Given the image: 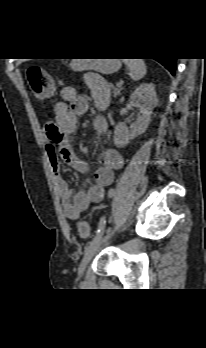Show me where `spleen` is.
Returning <instances> with one entry per match:
<instances>
[{"mask_svg": "<svg viewBox=\"0 0 206 348\" xmlns=\"http://www.w3.org/2000/svg\"><path fill=\"white\" fill-rule=\"evenodd\" d=\"M123 61L129 68L131 79L138 81L145 76L146 65L142 59H124Z\"/></svg>", "mask_w": 206, "mask_h": 348, "instance_id": "obj_1", "label": "spleen"}]
</instances>
